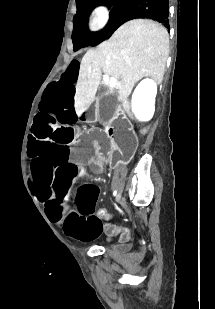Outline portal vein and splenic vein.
I'll use <instances>...</instances> for the list:
<instances>
[{
    "instance_id": "portal-vein-and-splenic-vein-1",
    "label": "portal vein and splenic vein",
    "mask_w": 215,
    "mask_h": 309,
    "mask_svg": "<svg viewBox=\"0 0 215 309\" xmlns=\"http://www.w3.org/2000/svg\"><path fill=\"white\" fill-rule=\"evenodd\" d=\"M104 82L105 84H108V86H117V78H112V76H107V74H104Z\"/></svg>"
}]
</instances>
